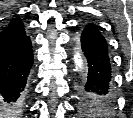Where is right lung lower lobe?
Masks as SVG:
<instances>
[{"label":"right lung lower lobe","mask_w":133,"mask_h":118,"mask_svg":"<svg viewBox=\"0 0 133 118\" xmlns=\"http://www.w3.org/2000/svg\"><path fill=\"white\" fill-rule=\"evenodd\" d=\"M33 64L29 37L0 53V116L20 114Z\"/></svg>","instance_id":"right-lung-lower-lobe-1"}]
</instances>
